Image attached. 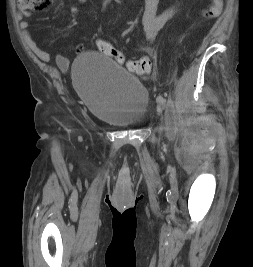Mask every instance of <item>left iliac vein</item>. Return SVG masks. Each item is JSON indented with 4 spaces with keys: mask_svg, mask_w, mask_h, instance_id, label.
Returning <instances> with one entry per match:
<instances>
[{
    "mask_svg": "<svg viewBox=\"0 0 253 267\" xmlns=\"http://www.w3.org/2000/svg\"><path fill=\"white\" fill-rule=\"evenodd\" d=\"M157 112H158V114H161L162 108L160 106L157 107Z\"/></svg>",
    "mask_w": 253,
    "mask_h": 267,
    "instance_id": "1",
    "label": "left iliac vein"
}]
</instances>
